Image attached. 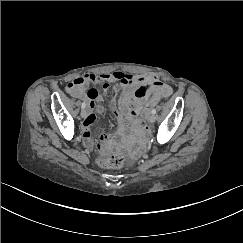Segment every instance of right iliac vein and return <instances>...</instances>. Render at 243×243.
I'll list each match as a JSON object with an SVG mask.
<instances>
[{"instance_id":"63e3f726","label":"right iliac vein","mask_w":243,"mask_h":243,"mask_svg":"<svg viewBox=\"0 0 243 243\" xmlns=\"http://www.w3.org/2000/svg\"><path fill=\"white\" fill-rule=\"evenodd\" d=\"M86 116V110L82 109L81 110V117L84 118Z\"/></svg>"}]
</instances>
